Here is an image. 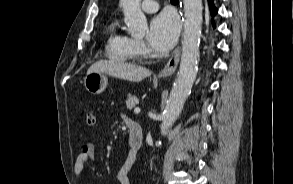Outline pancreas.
Listing matches in <instances>:
<instances>
[{"label": "pancreas", "mask_w": 293, "mask_h": 184, "mask_svg": "<svg viewBox=\"0 0 293 184\" xmlns=\"http://www.w3.org/2000/svg\"><path fill=\"white\" fill-rule=\"evenodd\" d=\"M139 103L138 98L135 95L129 94L126 98L127 109L132 110Z\"/></svg>", "instance_id": "1"}]
</instances>
